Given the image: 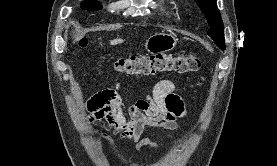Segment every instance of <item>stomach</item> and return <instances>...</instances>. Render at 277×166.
<instances>
[{
    "instance_id": "1",
    "label": "stomach",
    "mask_w": 277,
    "mask_h": 166,
    "mask_svg": "<svg viewBox=\"0 0 277 166\" xmlns=\"http://www.w3.org/2000/svg\"><path fill=\"white\" fill-rule=\"evenodd\" d=\"M177 43L174 35L168 33H156L148 38L145 49L151 54L164 53L172 50Z\"/></svg>"
}]
</instances>
